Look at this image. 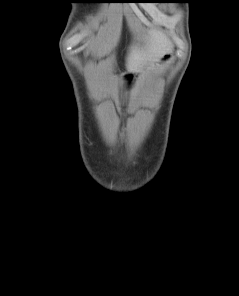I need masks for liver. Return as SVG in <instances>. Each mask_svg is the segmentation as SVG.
Returning <instances> with one entry per match:
<instances>
[{"label": "liver", "mask_w": 239, "mask_h": 296, "mask_svg": "<svg viewBox=\"0 0 239 296\" xmlns=\"http://www.w3.org/2000/svg\"><path fill=\"white\" fill-rule=\"evenodd\" d=\"M170 45L169 39L163 33L155 30L149 31L146 51L133 47L127 58V68L132 71L140 69L147 62L159 57Z\"/></svg>", "instance_id": "obj_1"}]
</instances>
